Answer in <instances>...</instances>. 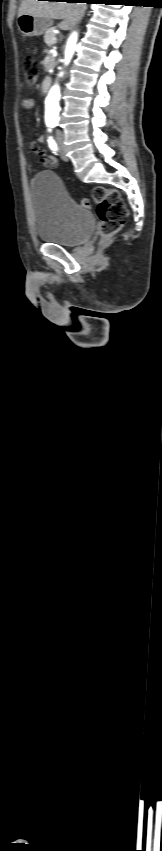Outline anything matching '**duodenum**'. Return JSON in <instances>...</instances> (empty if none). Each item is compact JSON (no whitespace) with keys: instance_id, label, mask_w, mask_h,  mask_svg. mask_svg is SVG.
Instances as JSON below:
<instances>
[{"instance_id":"1","label":"duodenum","mask_w":162,"mask_h":851,"mask_svg":"<svg viewBox=\"0 0 162 851\" xmlns=\"http://www.w3.org/2000/svg\"><path fill=\"white\" fill-rule=\"evenodd\" d=\"M50 86H51V78H49V77H44V78H43V80H42V82H41V90H42V92H43V93H47V92L49 91V89H50Z\"/></svg>"}]
</instances>
